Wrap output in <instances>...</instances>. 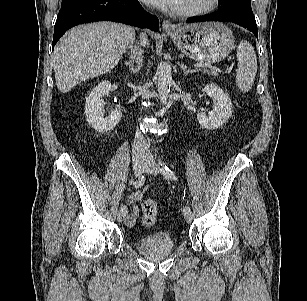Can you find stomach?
I'll return each mask as SVG.
<instances>
[{
	"label": "stomach",
	"instance_id": "1",
	"mask_svg": "<svg viewBox=\"0 0 307 301\" xmlns=\"http://www.w3.org/2000/svg\"><path fill=\"white\" fill-rule=\"evenodd\" d=\"M167 33L183 53L203 63L219 62L234 48L231 30L220 22L185 25Z\"/></svg>",
	"mask_w": 307,
	"mask_h": 301
}]
</instances>
